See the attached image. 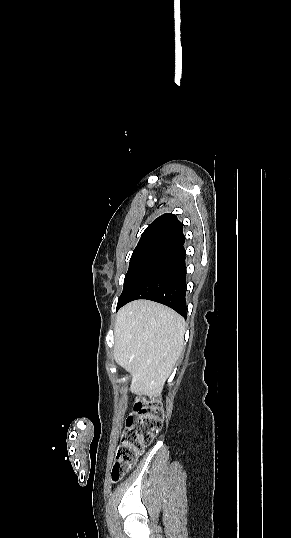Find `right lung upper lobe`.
Listing matches in <instances>:
<instances>
[{"instance_id":"cb5924a9","label":"right lung upper lobe","mask_w":291,"mask_h":538,"mask_svg":"<svg viewBox=\"0 0 291 538\" xmlns=\"http://www.w3.org/2000/svg\"><path fill=\"white\" fill-rule=\"evenodd\" d=\"M182 229V223L174 214H163L145 229L134 251L149 248H166L173 251L185 242Z\"/></svg>"}]
</instances>
